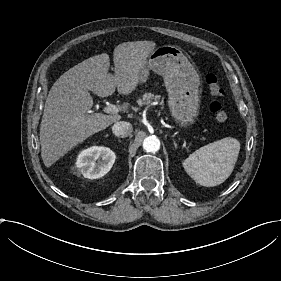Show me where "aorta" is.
Returning a JSON list of instances; mask_svg holds the SVG:
<instances>
[{"label": "aorta", "instance_id": "aorta-1", "mask_svg": "<svg viewBox=\"0 0 281 281\" xmlns=\"http://www.w3.org/2000/svg\"><path fill=\"white\" fill-rule=\"evenodd\" d=\"M143 149L146 152H157L160 149V140L154 135L146 137L143 141Z\"/></svg>", "mask_w": 281, "mask_h": 281}]
</instances>
